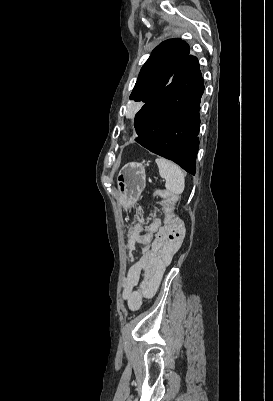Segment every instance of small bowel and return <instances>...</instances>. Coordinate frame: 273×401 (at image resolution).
<instances>
[{"label": "small bowel", "mask_w": 273, "mask_h": 401, "mask_svg": "<svg viewBox=\"0 0 273 401\" xmlns=\"http://www.w3.org/2000/svg\"><path fill=\"white\" fill-rule=\"evenodd\" d=\"M149 228L139 215H132V225L128 231L127 248L132 253L140 249L139 258L129 267L122 283L121 297L132 311L138 310L145 299L152 298L159 287L163 273L170 265L181 241H154L155 228H166L158 222L156 215L151 216ZM149 276L150 282L144 283L143 277Z\"/></svg>", "instance_id": "small-bowel-1"}]
</instances>
